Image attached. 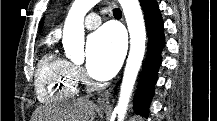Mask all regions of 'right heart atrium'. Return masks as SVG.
I'll list each match as a JSON object with an SVG mask.
<instances>
[{
    "label": "right heart atrium",
    "mask_w": 217,
    "mask_h": 121,
    "mask_svg": "<svg viewBox=\"0 0 217 121\" xmlns=\"http://www.w3.org/2000/svg\"><path fill=\"white\" fill-rule=\"evenodd\" d=\"M75 72L77 74L78 77H81L82 76V72H81V69L78 68V67H75Z\"/></svg>",
    "instance_id": "d8ad5b80"
}]
</instances>
